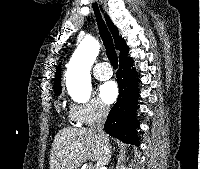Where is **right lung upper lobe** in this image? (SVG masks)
I'll return each instance as SVG.
<instances>
[{"instance_id": "1", "label": "right lung upper lobe", "mask_w": 200, "mask_h": 169, "mask_svg": "<svg viewBox=\"0 0 200 169\" xmlns=\"http://www.w3.org/2000/svg\"><path fill=\"white\" fill-rule=\"evenodd\" d=\"M105 20L107 22V25L111 33L113 34L115 47L117 50L120 51L119 55V60H120L128 55L129 48L126 45L124 39L121 36H119L118 29L107 15H105ZM54 91L61 92V66H59L56 70L55 80H54Z\"/></svg>"}]
</instances>
